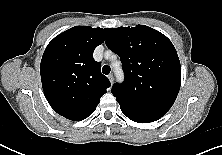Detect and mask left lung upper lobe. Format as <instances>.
I'll use <instances>...</instances> for the list:
<instances>
[{
    "label": "left lung upper lobe",
    "instance_id": "obj_1",
    "mask_svg": "<svg viewBox=\"0 0 222 155\" xmlns=\"http://www.w3.org/2000/svg\"><path fill=\"white\" fill-rule=\"evenodd\" d=\"M107 47L123 63L125 81L112 94L120 108L161 118L172 107L181 85L180 61L171 41L145 25L105 29Z\"/></svg>",
    "mask_w": 222,
    "mask_h": 155
}]
</instances>
